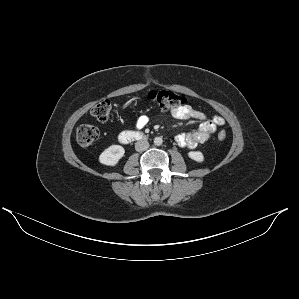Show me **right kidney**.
<instances>
[{
	"label": "right kidney",
	"instance_id": "1",
	"mask_svg": "<svg viewBox=\"0 0 299 299\" xmlns=\"http://www.w3.org/2000/svg\"><path fill=\"white\" fill-rule=\"evenodd\" d=\"M125 150L120 145H112L105 149L99 156V162L107 166H115L124 156Z\"/></svg>",
	"mask_w": 299,
	"mask_h": 299
}]
</instances>
